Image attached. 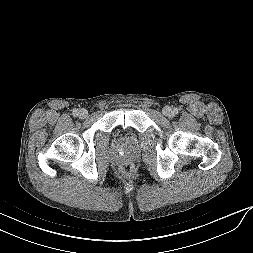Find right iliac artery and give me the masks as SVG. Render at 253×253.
<instances>
[{
	"mask_svg": "<svg viewBox=\"0 0 253 253\" xmlns=\"http://www.w3.org/2000/svg\"><path fill=\"white\" fill-rule=\"evenodd\" d=\"M73 115H74V116H77V115H78V110H77V109H74V110H73Z\"/></svg>",
	"mask_w": 253,
	"mask_h": 253,
	"instance_id": "82829eb1",
	"label": "right iliac artery"
}]
</instances>
